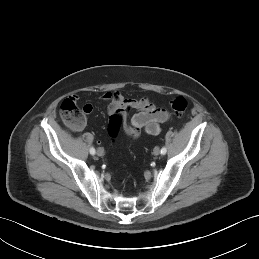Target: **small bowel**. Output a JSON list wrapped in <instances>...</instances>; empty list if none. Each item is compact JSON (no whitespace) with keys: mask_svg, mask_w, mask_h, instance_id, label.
<instances>
[{"mask_svg":"<svg viewBox=\"0 0 259 259\" xmlns=\"http://www.w3.org/2000/svg\"><path fill=\"white\" fill-rule=\"evenodd\" d=\"M101 101L106 103L107 112L112 115L116 112L123 114L125 119V134L131 139L138 138L141 133L157 135L161 132V124L170 119L169 113L157 108L149 96L140 99L126 98L120 91H109L101 96ZM85 113L91 114L93 106L84 105ZM135 110L136 113L128 120L127 111ZM81 129V128H80Z\"/></svg>","mask_w":259,"mask_h":259,"instance_id":"small-bowel-1","label":"small bowel"}]
</instances>
